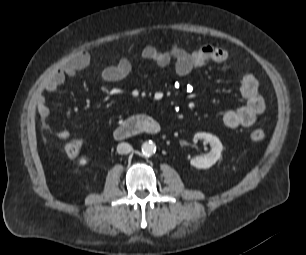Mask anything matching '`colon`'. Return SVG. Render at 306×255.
<instances>
[{"label":"colon","instance_id":"colon-1","mask_svg":"<svg viewBox=\"0 0 306 255\" xmlns=\"http://www.w3.org/2000/svg\"><path fill=\"white\" fill-rule=\"evenodd\" d=\"M250 137L254 141H261L265 137V131L261 127H256L254 128L251 133ZM82 148V142L78 139L71 140L67 142L63 149L64 152L69 156V157H75L79 154L80 150Z\"/></svg>","mask_w":306,"mask_h":255}]
</instances>
